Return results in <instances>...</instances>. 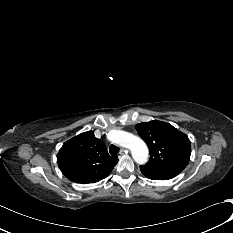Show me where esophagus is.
<instances>
[{
	"mask_svg": "<svg viewBox=\"0 0 233 233\" xmlns=\"http://www.w3.org/2000/svg\"><path fill=\"white\" fill-rule=\"evenodd\" d=\"M126 153H128V150L122 148L121 151H120V155H124V154H126Z\"/></svg>",
	"mask_w": 233,
	"mask_h": 233,
	"instance_id": "1",
	"label": "esophagus"
}]
</instances>
